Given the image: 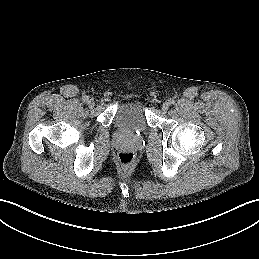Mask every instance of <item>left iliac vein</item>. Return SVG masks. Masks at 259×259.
Returning <instances> with one entry per match:
<instances>
[{"label":"left iliac vein","mask_w":259,"mask_h":259,"mask_svg":"<svg viewBox=\"0 0 259 259\" xmlns=\"http://www.w3.org/2000/svg\"><path fill=\"white\" fill-rule=\"evenodd\" d=\"M169 106H170V104H169L168 102L163 103V105H162V110H163L164 112H167L168 109H169Z\"/></svg>","instance_id":"4c4485c4"}]
</instances>
